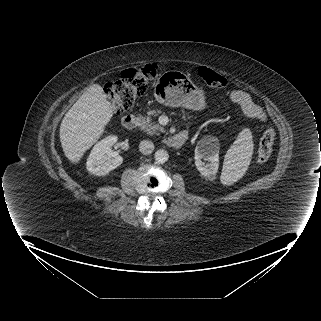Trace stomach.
Returning a JSON list of instances; mask_svg holds the SVG:
<instances>
[{"mask_svg": "<svg viewBox=\"0 0 321 321\" xmlns=\"http://www.w3.org/2000/svg\"><path fill=\"white\" fill-rule=\"evenodd\" d=\"M154 96L158 103L170 107H185L201 111L206 107L202 91L183 73L166 71L154 85Z\"/></svg>", "mask_w": 321, "mask_h": 321, "instance_id": "0dacf381", "label": "stomach"}]
</instances>
